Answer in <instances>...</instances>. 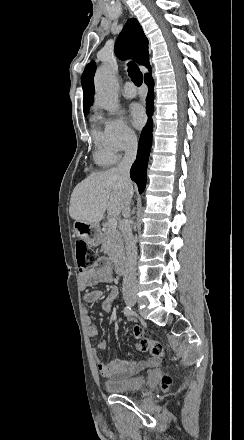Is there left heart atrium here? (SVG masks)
Segmentation results:
<instances>
[{
  "label": "left heart atrium",
  "mask_w": 244,
  "mask_h": 440,
  "mask_svg": "<svg viewBox=\"0 0 244 440\" xmlns=\"http://www.w3.org/2000/svg\"><path fill=\"white\" fill-rule=\"evenodd\" d=\"M130 113L132 123L138 128L142 127L146 121L144 108L140 104H133L130 107Z\"/></svg>",
  "instance_id": "left-heart-atrium-1"
}]
</instances>
